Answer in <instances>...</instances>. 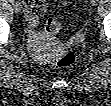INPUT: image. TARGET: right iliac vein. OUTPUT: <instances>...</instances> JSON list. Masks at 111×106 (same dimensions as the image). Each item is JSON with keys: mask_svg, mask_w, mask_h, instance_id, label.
I'll use <instances>...</instances> for the list:
<instances>
[{"mask_svg": "<svg viewBox=\"0 0 111 106\" xmlns=\"http://www.w3.org/2000/svg\"><path fill=\"white\" fill-rule=\"evenodd\" d=\"M13 9L16 13H19L21 10V7L18 3L13 4Z\"/></svg>", "mask_w": 111, "mask_h": 106, "instance_id": "63e3f726", "label": "right iliac vein"}]
</instances>
